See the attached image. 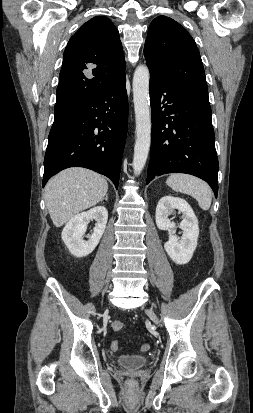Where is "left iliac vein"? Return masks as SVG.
<instances>
[{
	"label": "left iliac vein",
	"mask_w": 253,
	"mask_h": 413,
	"mask_svg": "<svg viewBox=\"0 0 253 413\" xmlns=\"http://www.w3.org/2000/svg\"><path fill=\"white\" fill-rule=\"evenodd\" d=\"M146 313L155 323H158V318L152 310H147Z\"/></svg>",
	"instance_id": "4c4485c4"
}]
</instances>
